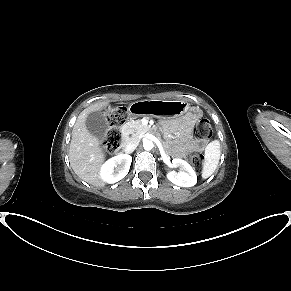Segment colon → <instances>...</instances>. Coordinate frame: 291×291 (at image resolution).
Returning <instances> with one entry per match:
<instances>
[{
  "label": "colon",
  "instance_id": "colon-1",
  "mask_svg": "<svg viewBox=\"0 0 291 291\" xmlns=\"http://www.w3.org/2000/svg\"><path fill=\"white\" fill-rule=\"evenodd\" d=\"M104 115L109 124V129L104 136L103 146L108 152H115L118 145L122 143L119 128L128 119V110L122 106L109 107L105 109ZM211 133V124L207 118L200 119L193 129V135L198 142H205L211 136ZM188 159L195 167L199 168L203 161V155L194 151L189 154Z\"/></svg>",
  "mask_w": 291,
  "mask_h": 291
}]
</instances>
